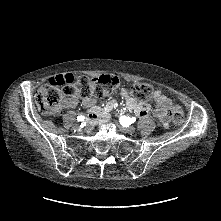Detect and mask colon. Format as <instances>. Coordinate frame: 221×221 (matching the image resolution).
I'll return each instance as SVG.
<instances>
[{
    "mask_svg": "<svg viewBox=\"0 0 221 221\" xmlns=\"http://www.w3.org/2000/svg\"><path fill=\"white\" fill-rule=\"evenodd\" d=\"M119 80L115 76L104 75L90 79L80 77L69 85L54 86L51 83L43 85L36 95V105L45 115H55L70 100L87 97H103L111 94L118 86ZM132 96L139 101L154 99V92L146 83H135L131 87ZM169 112L175 125L184 121V113L174 101L169 103Z\"/></svg>",
    "mask_w": 221,
    "mask_h": 221,
    "instance_id": "colon-1",
    "label": "colon"
}]
</instances>
